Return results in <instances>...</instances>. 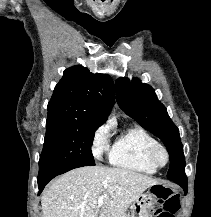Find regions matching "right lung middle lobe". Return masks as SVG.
<instances>
[{"label":"right lung middle lobe","mask_w":211,"mask_h":217,"mask_svg":"<svg viewBox=\"0 0 211 217\" xmlns=\"http://www.w3.org/2000/svg\"><path fill=\"white\" fill-rule=\"evenodd\" d=\"M100 125L68 119L47 120L39 174L58 168L95 165L91 144Z\"/></svg>","instance_id":"1"}]
</instances>
